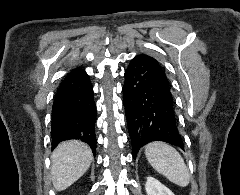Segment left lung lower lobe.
<instances>
[{
	"instance_id": "obj_1",
	"label": "left lung lower lobe",
	"mask_w": 240,
	"mask_h": 195,
	"mask_svg": "<svg viewBox=\"0 0 240 195\" xmlns=\"http://www.w3.org/2000/svg\"><path fill=\"white\" fill-rule=\"evenodd\" d=\"M124 77L123 104L133 158L136 159L142 146L154 140L183 149L169 81L158 61L148 55H138L130 61Z\"/></svg>"
}]
</instances>
